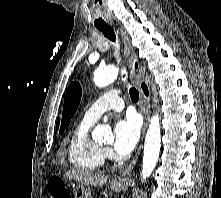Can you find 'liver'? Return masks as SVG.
Listing matches in <instances>:
<instances>
[{
	"label": "liver",
	"mask_w": 221,
	"mask_h": 198,
	"mask_svg": "<svg viewBox=\"0 0 221 198\" xmlns=\"http://www.w3.org/2000/svg\"><path fill=\"white\" fill-rule=\"evenodd\" d=\"M64 177L67 179H73L78 183H83L85 185L92 186H102L107 183V176L92 173L84 170H69L64 174Z\"/></svg>",
	"instance_id": "liver-1"
}]
</instances>
